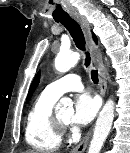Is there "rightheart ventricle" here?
<instances>
[{
    "label": "right heart ventricle",
    "mask_w": 130,
    "mask_h": 153,
    "mask_svg": "<svg viewBox=\"0 0 130 153\" xmlns=\"http://www.w3.org/2000/svg\"><path fill=\"white\" fill-rule=\"evenodd\" d=\"M58 98L45 90L37 97L25 121V139L39 152H53L61 143V133L53 123V108Z\"/></svg>",
    "instance_id": "1"
}]
</instances>
